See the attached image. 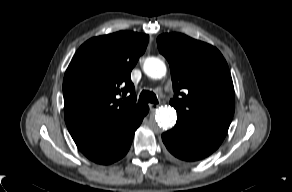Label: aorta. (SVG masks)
<instances>
[{"label":"aorta","mask_w":292,"mask_h":192,"mask_svg":"<svg viewBox=\"0 0 292 192\" xmlns=\"http://www.w3.org/2000/svg\"><path fill=\"white\" fill-rule=\"evenodd\" d=\"M143 70L148 77L160 79L166 74V65L157 57H148L144 61ZM176 120V111L171 107H162L155 113V121L160 128H170ZM151 127L155 128L154 122H151Z\"/></svg>","instance_id":"obj_1"}]
</instances>
